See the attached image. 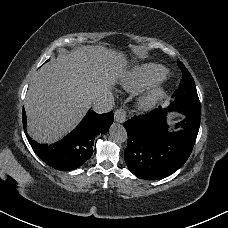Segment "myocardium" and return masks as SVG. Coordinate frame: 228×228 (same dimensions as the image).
I'll return each mask as SVG.
<instances>
[{
  "label": "myocardium",
  "mask_w": 228,
  "mask_h": 228,
  "mask_svg": "<svg viewBox=\"0 0 228 228\" xmlns=\"http://www.w3.org/2000/svg\"><path fill=\"white\" fill-rule=\"evenodd\" d=\"M160 91H153L151 92L142 102H141V106L144 109H149L151 108L156 101L158 100L159 96H160Z\"/></svg>",
  "instance_id": "f54148a6"
}]
</instances>
